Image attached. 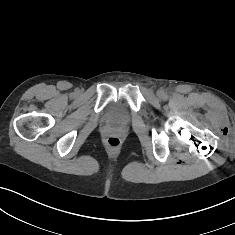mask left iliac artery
<instances>
[{
	"label": "left iliac artery",
	"instance_id": "obj_1",
	"mask_svg": "<svg viewBox=\"0 0 235 235\" xmlns=\"http://www.w3.org/2000/svg\"><path fill=\"white\" fill-rule=\"evenodd\" d=\"M163 98L167 99V95L165 93H163Z\"/></svg>",
	"mask_w": 235,
	"mask_h": 235
}]
</instances>
